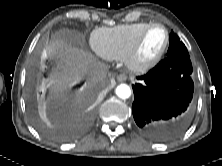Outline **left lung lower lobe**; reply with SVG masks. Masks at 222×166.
I'll list each match as a JSON object with an SVG mask.
<instances>
[{
    "mask_svg": "<svg viewBox=\"0 0 222 166\" xmlns=\"http://www.w3.org/2000/svg\"><path fill=\"white\" fill-rule=\"evenodd\" d=\"M192 71L190 57L169 56L132 85L133 117L145 136L166 140L187 126L194 93Z\"/></svg>",
    "mask_w": 222,
    "mask_h": 166,
    "instance_id": "left-lung-lower-lobe-1",
    "label": "left lung lower lobe"
}]
</instances>
